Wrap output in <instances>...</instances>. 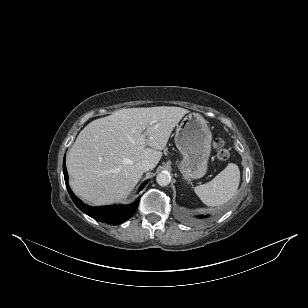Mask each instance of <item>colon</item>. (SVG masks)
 <instances>
[{
	"label": "colon",
	"instance_id": "colon-1",
	"mask_svg": "<svg viewBox=\"0 0 308 308\" xmlns=\"http://www.w3.org/2000/svg\"><path fill=\"white\" fill-rule=\"evenodd\" d=\"M213 146L217 152L219 160L227 162L230 158V153L228 149L225 147L224 140L220 138L215 139L213 142Z\"/></svg>",
	"mask_w": 308,
	"mask_h": 308
}]
</instances>
